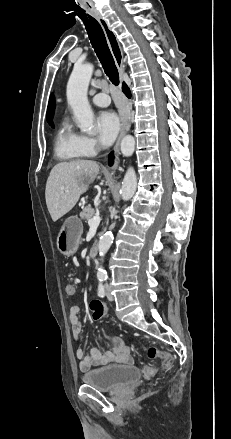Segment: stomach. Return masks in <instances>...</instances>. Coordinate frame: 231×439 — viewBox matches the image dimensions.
Segmentation results:
<instances>
[{
    "instance_id": "obj_1",
    "label": "stomach",
    "mask_w": 231,
    "mask_h": 439,
    "mask_svg": "<svg viewBox=\"0 0 231 439\" xmlns=\"http://www.w3.org/2000/svg\"><path fill=\"white\" fill-rule=\"evenodd\" d=\"M83 225L77 217L68 218L63 224L58 237L57 248L64 256H72L79 247Z\"/></svg>"
}]
</instances>
